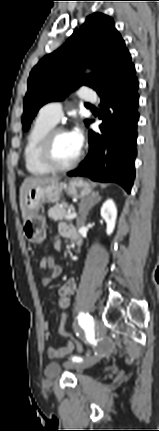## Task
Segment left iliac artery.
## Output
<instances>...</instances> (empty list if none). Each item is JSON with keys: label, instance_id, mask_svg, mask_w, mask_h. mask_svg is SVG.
<instances>
[{"label": "left iliac artery", "instance_id": "left-iliac-artery-1", "mask_svg": "<svg viewBox=\"0 0 159 431\" xmlns=\"http://www.w3.org/2000/svg\"><path fill=\"white\" fill-rule=\"evenodd\" d=\"M79 324L88 331L89 329H92L94 326V320L89 314L80 313L79 314ZM87 339L92 342L93 337L91 338L89 335L87 336ZM72 360L74 362H81L82 358L80 357H73Z\"/></svg>", "mask_w": 159, "mask_h": 431}]
</instances>
